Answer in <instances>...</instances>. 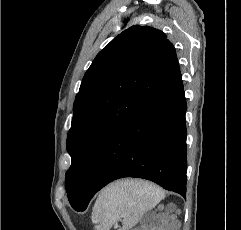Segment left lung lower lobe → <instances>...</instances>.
<instances>
[{"label":"left lung lower lobe","mask_w":241,"mask_h":230,"mask_svg":"<svg viewBox=\"0 0 241 230\" xmlns=\"http://www.w3.org/2000/svg\"><path fill=\"white\" fill-rule=\"evenodd\" d=\"M186 109L178 69L104 144L80 202L71 206L84 211L95 193L123 177L148 179L185 195Z\"/></svg>","instance_id":"1"}]
</instances>
